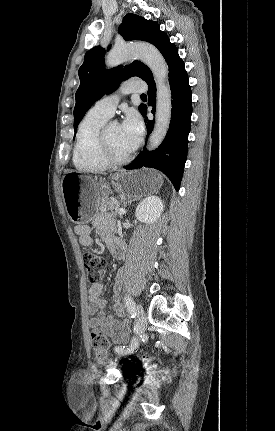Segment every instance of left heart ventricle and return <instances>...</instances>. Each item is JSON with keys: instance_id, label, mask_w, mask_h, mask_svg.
<instances>
[{"instance_id": "obj_1", "label": "left heart ventricle", "mask_w": 275, "mask_h": 431, "mask_svg": "<svg viewBox=\"0 0 275 431\" xmlns=\"http://www.w3.org/2000/svg\"><path fill=\"white\" fill-rule=\"evenodd\" d=\"M108 142L112 152L118 156L123 157L130 153L122 142L121 126L117 123H112L108 129Z\"/></svg>"}]
</instances>
